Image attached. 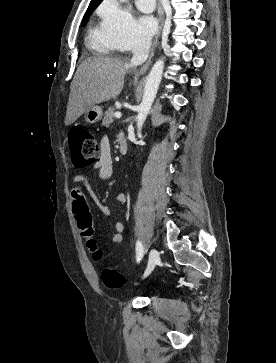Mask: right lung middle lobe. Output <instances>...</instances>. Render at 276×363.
Masks as SVG:
<instances>
[{"label": "right lung middle lobe", "instance_id": "right-lung-middle-lobe-1", "mask_svg": "<svg viewBox=\"0 0 276 363\" xmlns=\"http://www.w3.org/2000/svg\"><path fill=\"white\" fill-rule=\"evenodd\" d=\"M96 6H92V7H89L83 17V20H82V25L85 26L90 15L93 13V11L95 10Z\"/></svg>", "mask_w": 276, "mask_h": 363}]
</instances>
